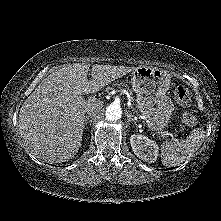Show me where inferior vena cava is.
Returning a JSON list of instances; mask_svg holds the SVG:
<instances>
[{
	"mask_svg": "<svg viewBox=\"0 0 221 221\" xmlns=\"http://www.w3.org/2000/svg\"><path fill=\"white\" fill-rule=\"evenodd\" d=\"M101 107H102L101 104L91 105L86 109L85 112L88 114V116L95 115L100 111Z\"/></svg>",
	"mask_w": 221,
	"mask_h": 221,
	"instance_id": "inferior-vena-cava-1",
	"label": "inferior vena cava"
}]
</instances>
